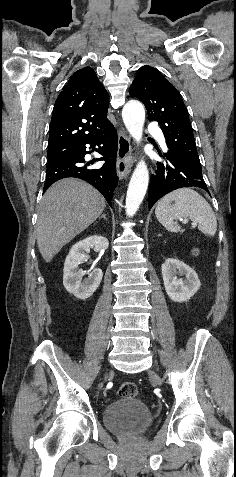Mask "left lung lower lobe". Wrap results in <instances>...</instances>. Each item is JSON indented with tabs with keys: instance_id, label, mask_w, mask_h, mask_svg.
Returning a JSON list of instances; mask_svg holds the SVG:
<instances>
[{
	"instance_id": "1",
	"label": "left lung lower lobe",
	"mask_w": 236,
	"mask_h": 477,
	"mask_svg": "<svg viewBox=\"0 0 236 477\" xmlns=\"http://www.w3.org/2000/svg\"><path fill=\"white\" fill-rule=\"evenodd\" d=\"M165 161L157 162L155 175L151 176L148 206L149 209L167 193L182 187H198L209 192L202 176L201 167L195 162L176 154H161Z\"/></svg>"
}]
</instances>
